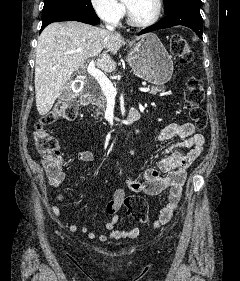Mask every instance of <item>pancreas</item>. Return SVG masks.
Listing matches in <instances>:
<instances>
[{
  "mask_svg": "<svg viewBox=\"0 0 240 281\" xmlns=\"http://www.w3.org/2000/svg\"><path fill=\"white\" fill-rule=\"evenodd\" d=\"M165 91V87H152L151 91L149 92L150 94H157L158 92H163ZM106 96L104 95L102 89H99L96 94L94 95V103H93V108L95 109V117L98 118L99 115H102V111H105L106 107Z\"/></svg>",
  "mask_w": 240,
  "mask_h": 281,
  "instance_id": "pancreas-1",
  "label": "pancreas"
}]
</instances>
